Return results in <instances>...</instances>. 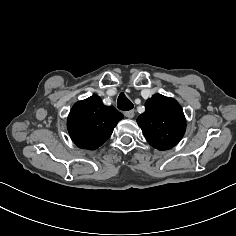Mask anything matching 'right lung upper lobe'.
Returning <instances> with one entry per match:
<instances>
[{
	"mask_svg": "<svg viewBox=\"0 0 236 236\" xmlns=\"http://www.w3.org/2000/svg\"><path fill=\"white\" fill-rule=\"evenodd\" d=\"M122 118L123 115L113 106H105L98 95H93L74 104L67 128L78 147L95 150L110 137Z\"/></svg>",
	"mask_w": 236,
	"mask_h": 236,
	"instance_id": "obj_1",
	"label": "right lung upper lobe"
}]
</instances>
